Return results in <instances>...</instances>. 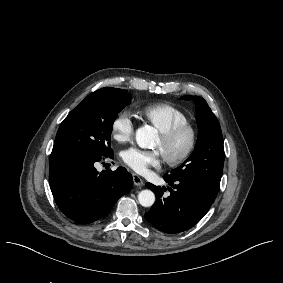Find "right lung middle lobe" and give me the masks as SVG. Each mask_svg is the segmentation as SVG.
<instances>
[{
	"label": "right lung middle lobe",
	"instance_id": "obj_1",
	"mask_svg": "<svg viewBox=\"0 0 283 283\" xmlns=\"http://www.w3.org/2000/svg\"><path fill=\"white\" fill-rule=\"evenodd\" d=\"M131 101L126 90L106 87L91 93L61 123L50 160L75 155L110 156L117 114Z\"/></svg>",
	"mask_w": 283,
	"mask_h": 283
}]
</instances>
